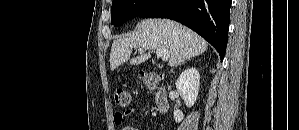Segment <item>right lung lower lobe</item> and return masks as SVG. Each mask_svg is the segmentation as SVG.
Segmentation results:
<instances>
[{"label": "right lung lower lobe", "instance_id": "98d812e1", "mask_svg": "<svg viewBox=\"0 0 299 130\" xmlns=\"http://www.w3.org/2000/svg\"><path fill=\"white\" fill-rule=\"evenodd\" d=\"M231 0H155L139 17L168 18L191 28L218 51L223 60Z\"/></svg>", "mask_w": 299, "mask_h": 130}]
</instances>
